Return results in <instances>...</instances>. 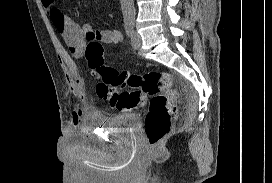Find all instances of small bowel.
I'll return each instance as SVG.
<instances>
[{"instance_id":"obj_1","label":"small bowel","mask_w":272,"mask_h":183,"mask_svg":"<svg viewBox=\"0 0 272 183\" xmlns=\"http://www.w3.org/2000/svg\"><path fill=\"white\" fill-rule=\"evenodd\" d=\"M41 2L75 58L84 55L86 43L96 41L112 46L122 40V35L117 30L95 29L89 23H76L63 13L60 3L56 0H41Z\"/></svg>"}]
</instances>
